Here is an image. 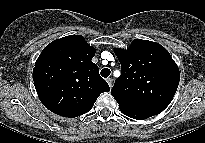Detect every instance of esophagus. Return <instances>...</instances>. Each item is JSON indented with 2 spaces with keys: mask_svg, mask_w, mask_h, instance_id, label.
<instances>
[{
  "mask_svg": "<svg viewBox=\"0 0 205 143\" xmlns=\"http://www.w3.org/2000/svg\"><path fill=\"white\" fill-rule=\"evenodd\" d=\"M106 81H107L108 85H109L110 87H112L113 79H112V78H107Z\"/></svg>",
  "mask_w": 205,
  "mask_h": 143,
  "instance_id": "1",
  "label": "esophagus"
}]
</instances>
